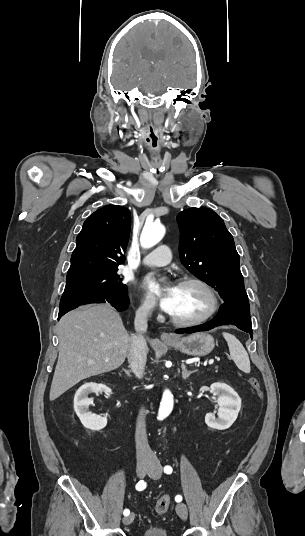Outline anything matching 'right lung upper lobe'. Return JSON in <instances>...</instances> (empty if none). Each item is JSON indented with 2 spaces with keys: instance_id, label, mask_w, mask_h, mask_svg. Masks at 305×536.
Instances as JSON below:
<instances>
[{
  "instance_id": "obj_1",
  "label": "right lung upper lobe",
  "mask_w": 305,
  "mask_h": 536,
  "mask_svg": "<svg viewBox=\"0 0 305 536\" xmlns=\"http://www.w3.org/2000/svg\"><path fill=\"white\" fill-rule=\"evenodd\" d=\"M130 226L125 207L107 205L95 211L76 238L66 278L118 269L125 262Z\"/></svg>"
}]
</instances>
